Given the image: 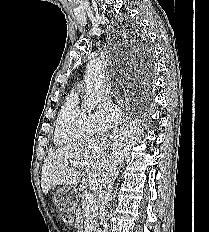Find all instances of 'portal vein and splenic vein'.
Segmentation results:
<instances>
[{
  "mask_svg": "<svg viewBox=\"0 0 209 232\" xmlns=\"http://www.w3.org/2000/svg\"><path fill=\"white\" fill-rule=\"evenodd\" d=\"M73 164H77V165H80L81 167H85L87 166L88 164L84 161H74L72 162ZM98 188V180H97V177L94 175L92 176V178L90 179V184H89V189L90 191L92 192H95Z\"/></svg>",
  "mask_w": 209,
  "mask_h": 232,
  "instance_id": "portal-vein-and-splenic-vein-1",
  "label": "portal vein and splenic vein"
}]
</instances>
